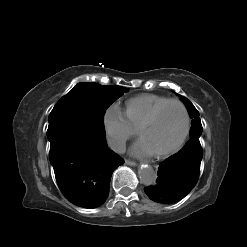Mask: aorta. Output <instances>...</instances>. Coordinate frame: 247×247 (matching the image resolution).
<instances>
[{
	"label": "aorta",
	"mask_w": 247,
	"mask_h": 247,
	"mask_svg": "<svg viewBox=\"0 0 247 247\" xmlns=\"http://www.w3.org/2000/svg\"><path fill=\"white\" fill-rule=\"evenodd\" d=\"M140 181L145 185H153L157 179V173L150 165L141 166L138 170Z\"/></svg>",
	"instance_id": "obj_1"
}]
</instances>
